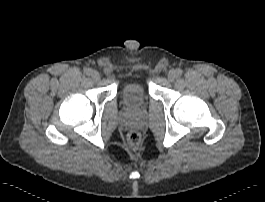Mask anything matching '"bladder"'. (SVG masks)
<instances>
[{
  "mask_svg": "<svg viewBox=\"0 0 265 202\" xmlns=\"http://www.w3.org/2000/svg\"><path fill=\"white\" fill-rule=\"evenodd\" d=\"M148 98V90L141 81L128 82L122 86L120 91V100L128 109L142 105Z\"/></svg>",
  "mask_w": 265,
  "mask_h": 202,
  "instance_id": "obj_1",
  "label": "bladder"
}]
</instances>
